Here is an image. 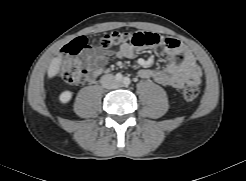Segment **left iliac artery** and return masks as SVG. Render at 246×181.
I'll use <instances>...</instances> for the list:
<instances>
[{
	"label": "left iliac artery",
	"instance_id": "left-iliac-artery-1",
	"mask_svg": "<svg viewBox=\"0 0 246 181\" xmlns=\"http://www.w3.org/2000/svg\"><path fill=\"white\" fill-rule=\"evenodd\" d=\"M123 83H124L125 85H129V84L131 83L130 78L125 77V78L123 79Z\"/></svg>",
	"mask_w": 246,
	"mask_h": 181
}]
</instances>
